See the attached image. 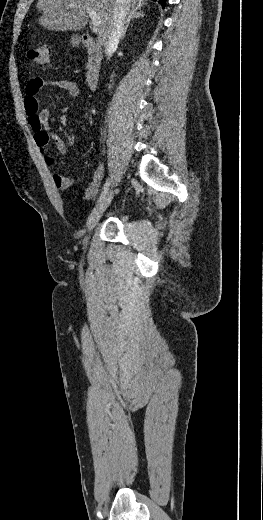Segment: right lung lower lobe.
<instances>
[{
	"label": "right lung lower lobe",
	"instance_id": "1",
	"mask_svg": "<svg viewBox=\"0 0 263 520\" xmlns=\"http://www.w3.org/2000/svg\"><path fill=\"white\" fill-rule=\"evenodd\" d=\"M156 1V0H155ZM165 1L166 0H159V2L161 3V5L164 7V4H165Z\"/></svg>",
	"mask_w": 263,
	"mask_h": 520
}]
</instances>
